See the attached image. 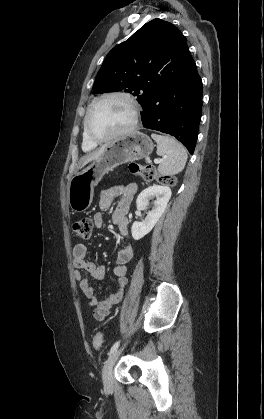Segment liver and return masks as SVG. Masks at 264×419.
<instances>
[{"label": "liver", "mask_w": 264, "mask_h": 419, "mask_svg": "<svg viewBox=\"0 0 264 419\" xmlns=\"http://www.w3.org/2000/svg\"><path fill=\"white\" fill-rule=\"evenodd\" d=\"M106 146H107V145H104V146L100 147L98 150H96L95 152H93V153H91V154L86 155V156L83 158V161H82L81 167L85 166V165H86V164H88L89 162H91V161L95 160L96 158H98V157H99V156H100V155L104 152V150H105Z\"/></svg>", "instance_id": "obj_1"}]
</instances>
